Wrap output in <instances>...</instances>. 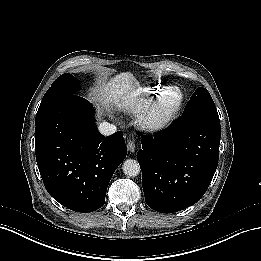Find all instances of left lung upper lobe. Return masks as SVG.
<instances>
[{
	"label": "left lung upper lobe",
	"mask_w": 261,
	"mask_h": 261,
	"mask_svg": "<svg viewBox=\"0 0 261 261\" xmlns=\"http://www.w3.org/2000/svg\"><path fill=\"white\" fill-rule=\"evenodd\" d=\"M196 113L218 115L209 92L203 87H198L193 93L186 105L183 116Z\"/></svg>",
	"instance_id": "1"
}]
</instances>
